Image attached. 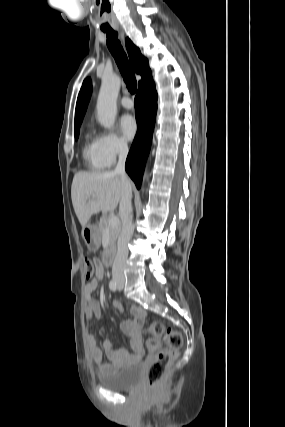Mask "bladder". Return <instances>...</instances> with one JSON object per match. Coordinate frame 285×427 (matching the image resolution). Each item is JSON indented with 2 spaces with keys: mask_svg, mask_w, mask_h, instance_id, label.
Returning <instances> with one entry per match:
<instances>
[{
  "mask_svg": "<svg viewBox=\"0 0 285 427\" xmlns=\"http://www.w3.org/2000/svg\"><path fill=\"white\" fill-rule=\"evenodd\" d=\"M140 361L129 364L120 370L98 375L100 384L112 390H131L136 388L141 379Z\"/></svg>",
  "mask_w": 285,
  "mask_h": 427,
  "instance_id": "obj_1",
  "label": "bladder"
}]
</instances>
